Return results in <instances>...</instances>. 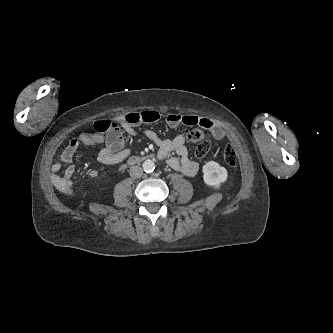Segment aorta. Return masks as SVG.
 Instances as JSON below:
<instances>
[{
    "mask_svg": "<svg viewBox=\"0 0 333 333\" xmlns=\"http://www.w3.org/2000/svg\"><path fill=\"white\" fill-rule=\"evenodd\" d=\"M143 170L147 173H151L155 169V163L152 160H145L142 164Z\"/></svg>",
    "mask_w": 333,
    "mask_h": 333,
    "instance_id": "762f6f07",
    "label": "aorta"
}]
</instances>
